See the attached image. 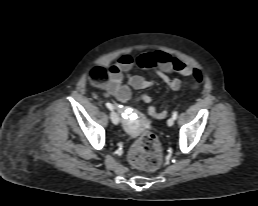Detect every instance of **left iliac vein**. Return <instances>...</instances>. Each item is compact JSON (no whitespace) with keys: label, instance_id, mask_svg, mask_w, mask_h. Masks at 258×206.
Returning <instances> with one entry per match:
<instances>
[{"label":"left iliac vein","instance_id":"1","mask_svg":"<svg viewBox=\"0 0 258 206\" xmlns=\"http://www.w3.org/2000/svg\"><path fill=\"white\" fill-rule=\"evenodd\" d=\"M175 119L173 117L169 118L167 121L168 126H173Z\"/></svg>","mask_w":258,"mask_h":206}]
</instances>
